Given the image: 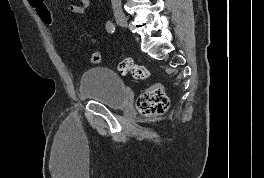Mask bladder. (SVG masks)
Instances as JSON below:
<instances>
[{"label": "bladder", "instance_id": "bladder-1", "mask_svg": "<svg viewBox=\"0 0 264 178\" xmlns=\"http://www.w3.org/2000/svg\"><path fill=\"white\" fill-rule=\"evenodd\" d=\"M79 94L83 100H95L110 108L124 107L130 99L122 79L107 67L86 70L80 79Z\"/></svg>", "mask_w": 264, "mask_h": 178}]
</instances>
